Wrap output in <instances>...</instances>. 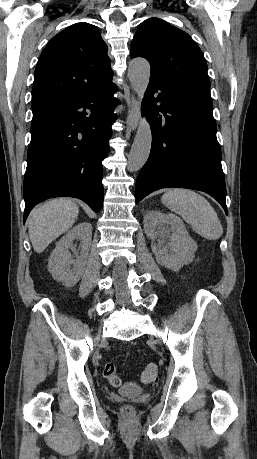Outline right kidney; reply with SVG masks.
I'll use <instances>...</instances> for the list:
<instances>
[{
	"label": "right kidney",
	"instance_id": "1",
	"mask_svg": "<svg viewBox=\"0 0 257 459\" xmlns=\"http://www.w3.org/2000/svg\"><path fill=\"white\" fill-rule=\"evenodd\" d=\"M91 239L92 226L83 222L69 230L57 242L48 261L49 272L55 280L62 282L66 287H72L80 280L87 264ZM74 240L81 241L80 252L76 255V259H73L69 252V248L74 249Z\"/></svg>",
	"mask_w": 257,
	"mask_h": 459
}]
</instances>
